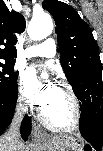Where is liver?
Returning a JSON list of instances; mask_svg holds the SVG:
<instances>
[{
  "mask_svg": "<svg viewBox=\"0 0 103 151\" xmlns=\"http://www.w3.org/2000/svg\"><path fill=\"white\" fill-rule=\"evenodd\" d=\"M6 145H8V143L5 141L4 137L1 138V151H9L7 147H5ZM13 151H22L23 150V143L20 140L19 136L17 137V143L13 148Z\"/></svg>",
  "mask_w": 103,
  "mask_h": 151,
  "instance_id": "liver-1",
  "label": "liver"
}]
</instances>
